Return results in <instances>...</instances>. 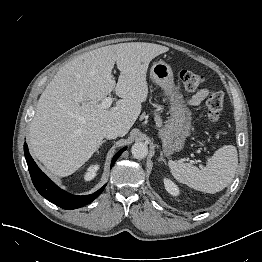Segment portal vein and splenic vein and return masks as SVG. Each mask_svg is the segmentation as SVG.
I'll use <instances>...</instances> for the list:
<instances>
[{
	"mask_svg": "<svg viewBox=\"0 0 262 262\" xmlns=\"http://www.w3.org/2000/svg\"><path fill=\"white\" fill-rule=\"evenodd\" d=\"M112 102H113V98H112V97H106V98H104V99L102 100L100 106H101L102 108L107 109V108H109V107L111 106Z\"/></svg>",
	"mask_w": 262,
	"mask_h": 262,
	"instance_id": "portal-vein-and-splenic-vein-1",
	"label": "portal vein and splenic vein"
}]
</instances>
